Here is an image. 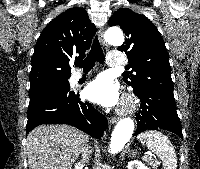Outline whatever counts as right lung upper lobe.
<instances>
[{
	"instance_id": "1",
	"label": "right lung upper lobe",
	"mask_w": 200,
	"mask_h": 169,
	"mask_svg": "<svg viewBox=\"0 0 200 169\" xmlns=\"http://www.w3.org/2000/svg\"><path fill=\"white\" fill-rule=\"evenodd\" d=\"M95 33L96 28L83 8L67 9L54 18L44 28L35 45L31 58L30 86L45 80L69 78V61L85 56Z\"/></svg>"
}]
</instances>
